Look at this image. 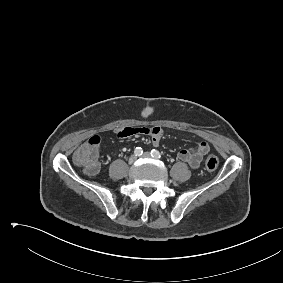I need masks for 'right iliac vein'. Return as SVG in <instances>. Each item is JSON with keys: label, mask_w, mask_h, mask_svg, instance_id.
<instances>
[{"label": "right iliac vein", "mask_w": 283, "mask_h": 283, "mask_svg": "<svg viewBox=\"0 0 283 283\" xmlns=\"http://www.w3.org/2000/svg\"><path fill=\"white\" fill-rule=\"evenodd\" d=\"M136 160H137V156H136V155H132V156L129 158V164L135 163Z\"/></svg>", "instance_id": "obj_1"}]
</instances>
